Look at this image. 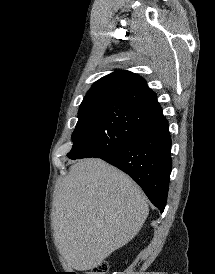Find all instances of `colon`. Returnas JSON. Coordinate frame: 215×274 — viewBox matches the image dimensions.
I'll use <instances>...</instances> for the list:
<instances>
[{
	"label": "colon",
	"mask_w": 215,
	"mask_h": 274,
	"mask_svg": "<svg viewBox=\"0 0 215 274\" xmlns=\"http://www.w3.org/2000/svg\"><path fill=\"white\" fill-rule=\"evenodd\" d=\"M108 264L105 261L98 263L89 274H106Z\"/></svg>",
	"instance_id": "5ec220e1"
}]
</instances>
